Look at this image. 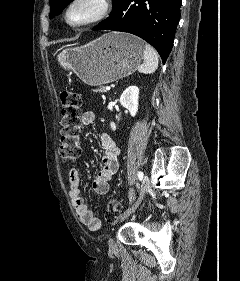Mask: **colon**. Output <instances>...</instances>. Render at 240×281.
<instances>
[{
	"label": "colon",
	"mask_w": 240,
	"mask_h": 281,
	"mask_svg": "<svg viewBox=\"0 0 240 281\" xmlns=\"http://www.w3.org/2000/svg\"><path fill=\"white\" fill-rule=\"evenodd\" d=\"M61 100V144L59 154L65 162H76L81 154L79 137L81 131V97L78 93L65 89L60 94ZM120 214L118 202L109 201L106 208V220L114 222Z\"/></svg>",
	"instance_id": "5ec220e1"
}]
</instances>
